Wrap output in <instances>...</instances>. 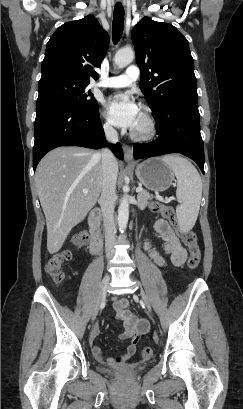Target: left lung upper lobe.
<instances>
[{
	"instance_id": "left-lung-upper-lobe-1",
	"label": "left lung upper lobe",
	"mask_w": 243,
	"mask_h": 409,
	"mask_svg": "<svg viewBox=\"0 0 243 409\" xmlns=\"http://www.w3.org/2000/svg\"><path fill=\"white\" fill-rule=\"evenodd\" d=\"M131 36L141 71L139 86L154 117L183 97L197 96L189 44L177 28L144 17Z\"/></svg>"
}]
</instances>
